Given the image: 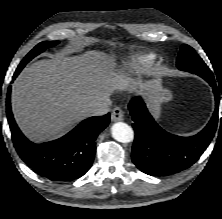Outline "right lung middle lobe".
I'll return each mask as SVG.
<instances>
[{
	"label": "right lung middle lobe",
	"instance_id": "right-lung-middle-lobe-1",
	"mask_svg": "<svg viewBox=\"0 0 222 219\" xmlns=\"http://www.w3.org/2000/svg\"><path fill=\"white\" fill-rule=\"evenodd\" d=\"M58 41H44L39 43L32 51H30L28 53V55L22 60V62L20 63V65L18 66L17 70L18 72H20L23 67L35 56H37L38 54H40L41 52H43L46 48L55 46L56 44H58Z\"/></svg>",
	"mask_w": 222,
	"mask_h": 219
}]
</instances>
